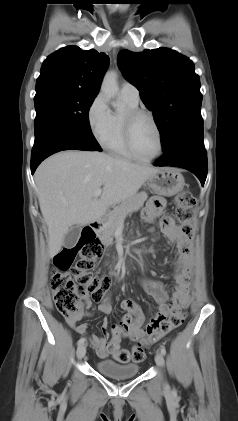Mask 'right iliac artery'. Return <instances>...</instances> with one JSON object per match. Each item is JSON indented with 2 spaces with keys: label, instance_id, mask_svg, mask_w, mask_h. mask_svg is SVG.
<instances>
[{
  "label": "right iliac artery",
  "instance_id": "right-iliac-artery-1",
  "mask_svg": "<svg viewBox=\"0 0 238 421\" xmlns=\"http://www.w3.org/2000/svg\"><path fill=\"white\" fill-rule=\"evenodd\" d=\"M85 341H86L85 338H81V339L78 340L77 344L78 345L83 344Z\"/></svg>",
  "mask_w": 238,
  "mask_h": 421
}]
</instances>
